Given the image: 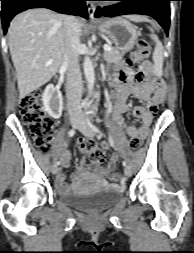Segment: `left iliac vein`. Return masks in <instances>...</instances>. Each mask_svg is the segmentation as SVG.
<instances>
[{
  "label": "left iliac vein",
  "mask_w": 194,
  "mask_h": 253,
  "mask_svg": "<svg viewBox=\"0 0 194 253\" xmlns=\"http://www.w3.org/2000/svg\"><path fill=\"white\" fill-rule=\"evenodd\" d=\"M79 131L84 134L86 137H93L94 136V131L93 129L89 126L88 122L84 119L81 118L80 124L78 126ZM124 173L127 177H130L132 175V170L130 167H126L124 169Z\"/></svg>",
  "instance_id": "obj_1"
}]
</instances>
